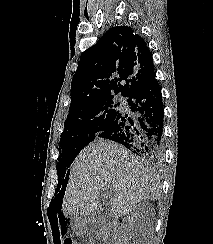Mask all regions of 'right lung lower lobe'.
I'll list each match as a JSON object with an SVG mask.
<instances>
[{"label":"right lung lower lobe","mask_w":213,"mask_h":244,"mask_svg":"<svg viewBox=\"0 0 213 244\" xmlns=\"http://www.w3.org/2000/svg\"><path fill=\"white\" fill-rule=\"evenodd\" d=\"M132 116L120 113L98 137L115 141L136 155L157 162L163 152L162 94L154 71L127 100ZM67 179L62 187L65 189Z\"/></svg>","instance_id":"obj_1"}]
</instances>
